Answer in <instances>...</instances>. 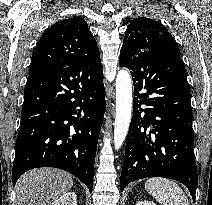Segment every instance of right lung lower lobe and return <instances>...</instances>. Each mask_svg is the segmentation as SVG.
Masks as SVG:
<instances>
[{
	"label": "right lung lower lobe",
	"mask_w": 212,
	"mask_h": 205,
	"mask_svg": "<svg viewBox=\"0 0 212 205\" xmlns=\"http://www.w3.org/2000/svg\"><path fill=\"white\" fill-rule=\"evenodd\" d=\"M104 98L102 64L29 74L16 141L13 185L30 169L56 167L73 174L91 192Z\"/></svg>",
	"instance_id": "obj_1"
}]
</instances>
